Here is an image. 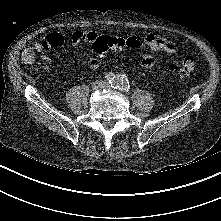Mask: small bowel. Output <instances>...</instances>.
<instances>
[{
  "label": "small bowel",
  "instance_id": "c3829d8e",
  "mask_svg": "<svg viewBox=\"0 0 221 221\" xmlns=\"http://www.w3.org/2000/svg\"><path fill=\"white\" fill-rule=\"evenodd\" d=\"M98 37L99 35L96 32L75 31L71 34V42L73 45L92 44ZM64 41L65 37L62 33H52L35 43L34 47L36 51L42 53V62L39 64L42 70H48L53 63L52 59L44 54V52L63 45ZM143 42L148 53L141 58L140 64L146 69L152 68L156 64L155 53L163 51L171 54L177 51L175 43L151 33L144 36ZM100 64V59L96 57H90L87 60V65L92 69L99 68Z\"/></svg>",
  "mask_w": 221,
  "mask_h": 221
}]
</instances>
